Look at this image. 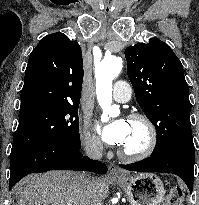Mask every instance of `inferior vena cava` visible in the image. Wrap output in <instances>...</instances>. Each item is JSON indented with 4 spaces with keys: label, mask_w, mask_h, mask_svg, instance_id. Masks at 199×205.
Wrapping results in <instances>:
<instances>
[{
    "label": "inferior vena cava",
    "mask_w": 199,
    "mask_h": 205,
    "mask_svg": "<svg viewBox=\"0 0 199 205\" xmlns=\"http://www.w3.org/2000/svg\"><path fill=\"white\" fill-rule=\"evenodd\" d=\"M86 155L91 159L100 160L102 158L103 146L100 141L95 140L88 144L85 149ZM83 180L85 183L86 189L89 191L92 197L91 205H102L101 199L98 197L96 188H95V179L91 178L89 175L83 174Z\"/></svg>",
    "instance_id": "inferior-vena-cava-1"
}]
</instances>
